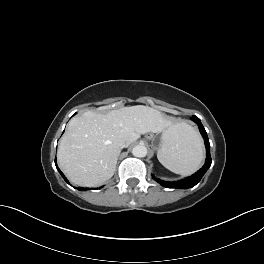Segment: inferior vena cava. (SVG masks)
<instances>
[{
  "label": "inferior vena cava",
  "mask_w": 264,
  "mask_h": 264,
  "mask_svg": "<svg viewBox=\"0 0 264 264\" xmlns=\"http://www.w3.org/2000/svg\"><path fill=\"white\" fill-rule=\"evenodd\" d=\"M119 145H120L121 148L125 147V143L124 142H121Z\"/></svg>",
  "instance_id": "602c4592"
}]
</instances>
